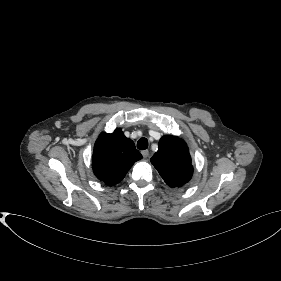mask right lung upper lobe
Returning <instances> with one entry per match:
<instances>
[{"instance_id":"1","label":"right lung upper lobe","mask_w":281,"mask_h":281,"mask_svg":"<svg viewBox=\"0 0 281 281\" xmlns=\"http://www.w3.org/2000/svg\"><path fill=\"white\" fill-rule=\"evenodd\" d=\"M142 158L132 140L120 128L113 133H102L95 142L93 171L106 185L119 183L132 165Z\"/></svg>"}]
</instances>
